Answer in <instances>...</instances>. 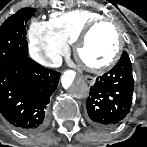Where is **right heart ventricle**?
Returning a JSON list of instances; mask_svg holds the SVG:
<instances>
[{"label": "right heart ventricle", "mask_w": 147, "mask_h": 147, "mask_svg": "<svg viewBox=\"0 0 147 147\" xmlns=\"http://www.w3.org/2000/svg\"><path fill=\"white\" fill-rule=\"evenodd\" d=\"M101 19L97 13L76 10L54 14L48 23V29L63 45L72 44L89 24Z\"/></svg>", "instance_id": "e07e8e85"}]
</instances>
